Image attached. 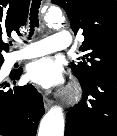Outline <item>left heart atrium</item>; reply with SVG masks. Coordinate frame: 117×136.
I'll return each instance as SVG.
<instances>
[{
	"label": "left heart atrium",
	"instance_id": "39dd6f15",
	"mask_svg": "<svg viewBox=\"0 0 117 136\" xmlns=\"http://www.w3.org/2000/svg\"><path fill=\"white\" fill-rule=\"evenodd\" d=\"M27 75L32 82L46 89L60 87L65 81L62 65L50 57L32 62L28 66Z\"/></svg>",
	"mask_w": 117,
	"mask_h": 136
}]
</instances>
